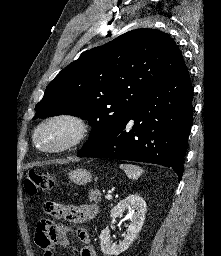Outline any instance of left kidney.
Listing matches in <instances>:
<instances>
[{"mask_svg":"<svg viewBox=\"0 0 221 256\" xmlns=\"http://www.w3.org/2000/svg\"><path fill=\"white\" fill-rule=\"evenodd\" d=\"M126 209L132 212L130 216L131 223L128 226L127 234L122 242H120L118 245L112 243L108 226L103 229L100 234L101 251L105 255L117 256L126 251L143 226L146 212V202L144 199L138 194L129 195L120 201L115 207H113L110 217L113 220L118 215L122 214Z\"/></svg>","mask_w":221,"mask_h":256,"instance_id":"5707ae66","label":"left kidney"}]
</instances>
